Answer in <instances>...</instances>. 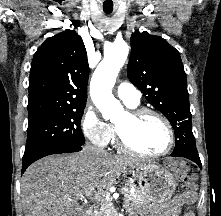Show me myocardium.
Returning <instances> with one entry per match:
<instances>
[{
    "mask_svg": "<svg viewBox=\"0 0 221 216\" xmlns=\"http://www.w3.org/2000/svg\"><path fill=\"white\" fill-rule=\"evenodd\" d=\"M132 122H137L143 117L151 115L158 118L165 126L168 133V144L164 150L156 153H146L134 147L122 133L121 129L115 125V133L118 147L125 152L144 158H158L167 155L175 143V134L170 121L159 111L148 107L133 108L126 112Z\"/></svg>",
    "mask_w": 221,
    "mask_h": 216,
    "instance_id": "myocardium-1",
    "label": "myocardium"
}]
</instances>
